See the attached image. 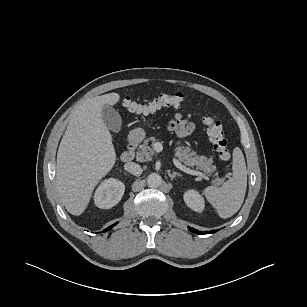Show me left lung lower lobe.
Segmentation results:
<instances>
[{
	"label": "left lung lower lobe",
	"instance_id": "0a47b994",
	"mask_svg": "<svg viewBox=\"0 0 307 307\" xmlns=\"http://www.w3.org/2000/svg\"><path fill=\"white\" fill-rule=\"evenodd\" d=\"M188 229L194 233H198V234H212V233H215L217 232L218 230H212V231H206V232H199L198 230L196 229H193L191 227H188Z\"/></svg>",
	"mask_w": 307,
	"mask_h": 307
}]
</instances>
